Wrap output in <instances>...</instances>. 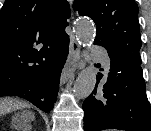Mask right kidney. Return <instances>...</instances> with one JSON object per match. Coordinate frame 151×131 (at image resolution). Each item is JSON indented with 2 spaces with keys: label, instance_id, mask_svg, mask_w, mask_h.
<instances>
[{
  "label": "right kidney",
  "instance_id": "right-kidney-1",
  "mask_svg": "<svg viewBox=\"0 0 151 131\" xmlns=\"http://www.w3.org/2000/svg\"><path fill=\"white\" fill-rule=\"evenodd\" d=\"M12 126H13L14 128H16V129L20 128V126H22L23 128L25 127V126L23 125V122H22L21 120H18V119H14V120L12 121Z\"/></svg>",
  "mask_w": 151,
  "mask_h": 131
}]
</instances>
